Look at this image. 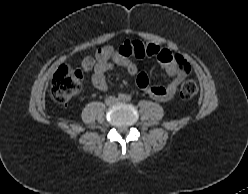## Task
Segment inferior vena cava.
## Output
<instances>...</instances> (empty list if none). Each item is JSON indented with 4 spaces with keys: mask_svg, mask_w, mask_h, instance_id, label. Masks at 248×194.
Returning a JSON list of instances; mask_svg holds the SVG:
<instances>
[{
    "mask_svg": "<svg viewBox=\"0 0 248 194\" xmlns=\"http://www.w3.org/2000/svg\"><path fill=\"white\" fill-rule=\"evenodd\" d=\"M118 101V99L114 96H109L105 99L106 105H113Z\"/></svg>",
    "mask_w": 248,
    "mask_h": 194,
    "instance_id": "inferior-vena-cava-1",
    "label": "inferior vena cava"
}]
</instances>
